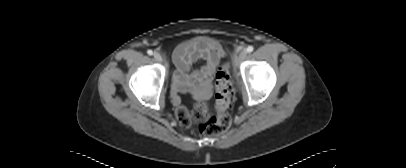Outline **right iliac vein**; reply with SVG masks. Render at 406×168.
<instances>
[{"mask_svg":"<svg viewBox=\"0 0 406 168\" xmlns=\"http://www.w3.org/2000/svg\"><path fill=\"white\" fill-rule=\"evenodd\" d=\"M154 58H155V60L158 61V62H162V61H163V58H162L161 54L158 53V52H155V53H154Z\"/></svg>","mask_w":406,"mask_h":168,"instance_id":"obj_1","label":"right iliac vein"}]
</instances>
